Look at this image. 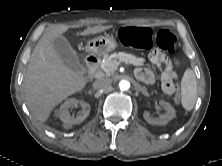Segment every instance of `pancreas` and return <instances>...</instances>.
Listing matches in <instances>:
<instances>
[{
  "label": "pancreas",
  "mask_w": 222,
  "mask_h": 166,
  "mask_svg": "<svg viewBox=\"0 0 222 166\" xmlns=\"http://www.w3.org/2000/svg\"><path fill=\"white\" fill-rule=\"evenodd\" d=\"M125 62L127 64H131L134 66H143L145 59L136 57L132 54H127L124 52L114 53L104 59L101 62L100 67L102 71L105 72L106 75H112L117 69V63Z\"/></svg>",
  "instance_id": "obj_1"
}]
</instances>
